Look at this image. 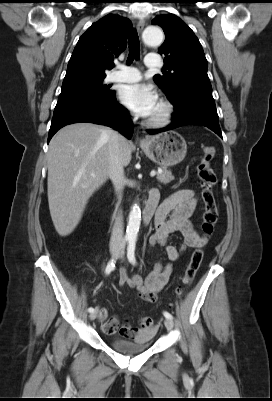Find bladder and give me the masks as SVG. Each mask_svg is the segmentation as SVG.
Instances as JSON below:
<instances>
[{"instance_id":"31cf9c89","label":"bladder","mask_w":272,"mask_h":401,"mask_svg":"<svg viewBox=\"0 0 272 401\" xmlns=\"http://www.w3.org/2000/svg\"><path fill=\"white\" fill-rule=\"evenodd\" d=\"M153 334H147L141 338H138L132 342L124 341L118 338H114L110 341V344L112 348L115 350L128 354V355H133V354H138L146 351L152 342V337Z\"/></svg>"}]
</instances>
